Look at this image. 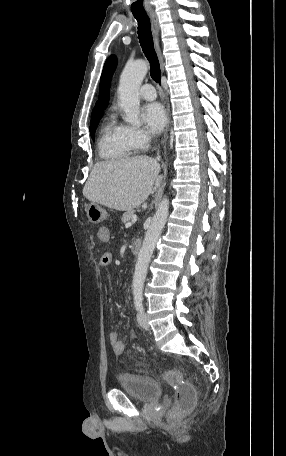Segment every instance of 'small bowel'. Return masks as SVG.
Masks as SVG:
<instances>
[{"instance_id": "c3829d8e", "label": "small bowel", "mask_w": 286, "mask_h": 456, "mask_svg": "<svg viewBox=\"0 0 286 456\" xmlns=\"http://www.w3.org/2000/svg\"><path fill=\"white\" fill-rule=\"evenodd\" d=\"M98 237L101 241L107 242L110 239L109 228L103 226L98 229ZM113 256L110 252L104 253L100 258V266L106 267L111 264ZM109 341L113 348L114 353L122 354L125 351V344L120 339L119 334L116 331L109 333Z\"/></svg>"}]
</instances>
